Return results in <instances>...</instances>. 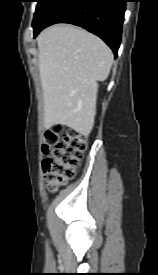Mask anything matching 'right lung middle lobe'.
Listing matches in <instances>:
<instances>
[{"instance_id":"dd1d6c3e","label":"right lung middle lobe","mask_w":158,"mask_h":275,"mask_svg":"<svg viewBox=\"0 0 158 275\" xmlns=\"http://www.w3.org/2000/svg\"><path fill=\"white\" fill-rule=\"evenodd\" d=\"M57 0H37L36 12L34 14L33 25L38 23L47 10L56 2Z\"/></svg>"}]
</instances>
